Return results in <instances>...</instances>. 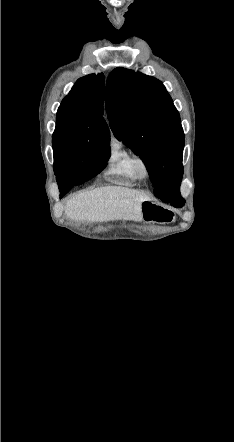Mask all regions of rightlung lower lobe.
Masks as SVG:
<instances>
[{"label":"right lung lower lobe","mask_w":234,"mask_h":442,"mask_svg":"<svg viewBox=\"0 0 234 442\" xmlns=\"http://www.w3.org/2000/svg\"><path fill=\"white\" fill-rule=\"evenodd\" d=\"M60 189V198L65 195L66 193H68V191L71 189L70 187H65V186H59Z\"/></svg>","instance_id":"1"}]
</instances>
